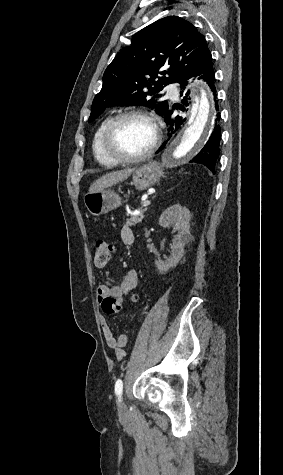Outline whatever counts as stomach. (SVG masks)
<instances>
[{"instance_id":"stomach-1","label":"stomach","mask_w":283,"mask_h":475,"mask_svg":"<svg viewBox=\"0 0 283 475\" xmlns=\"http://www.w3.org/2000/svg\"><path fill=\"white\" fill-rule=\"evenodd\" d=\"M163 172L158 162H148L135 168L132 172V182L136 190H147L159 182ZM84 204L92 216L107 214L121 206V198L113 190H101L97 194H85Z\"/></svg>"}]
</instances>
